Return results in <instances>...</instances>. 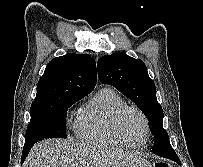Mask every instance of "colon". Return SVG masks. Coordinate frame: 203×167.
<instances>
[{
	"label": "colon",
	"mask_w": 203,
	"mask_h": 167,
	"mask_svg": "<svg viewBox=\"0 0 203 167\" xmlns=\"http://www.w3.org/2000/svg\"><path fill=\"white\" fill-rule=\"evenodd\" d=\"M155 167H169V165L163 162H158L155 164Z\"/></svg>",
	"instance_id": "1"
}]
</instances>
